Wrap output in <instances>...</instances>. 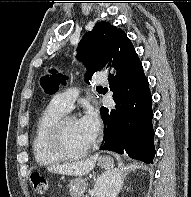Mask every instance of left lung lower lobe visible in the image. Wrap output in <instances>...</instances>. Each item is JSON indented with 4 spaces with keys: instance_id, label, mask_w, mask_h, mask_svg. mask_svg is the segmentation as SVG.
Masks as SVG:
<instances>
[{
    "instance_id": "0a47b994",
    "label": "left lung lower lobe",
    "mask_w": 191,
    "mask_h": 197,
    "mask_svg": "<svg viewBox=\"0 0 191 197\" xmlns=\"http://www.w3.org/2000/svg\"><path fill=\"white\" fill-rule=\"evenodd\" d=\"M117 79H110L113 99L121 101V108L109 110L102 107L101 116L107 125L102 150L123 153L134 159L153 163L155 156L154 130L152 126V96L143 67L137 70L117 72ZM116 85V86H115ZM121 120V127L119 126ZM121 132V136L118 133Z\"/></svg>"
}]
</instances>
